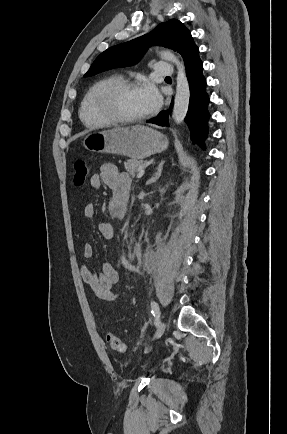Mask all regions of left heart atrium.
<instances>
[{
  "instance_id": "left-heart-atrium-1",
  "label": "left heart atrium",
  "mask_w": 287,
  "mask_h": 434,
  "mask_svg": "<svg viewBox=\"0 0 287 434\" xmlns=\"http://www.w3.org/2000/svg\"><path fill=\"white\" fill-rule=\"evenodd\" d=\"M139 91L147 112H153L160 106L161 95L154 84L146 82L139 87Z\"/></svg>"
}]
</instances>
